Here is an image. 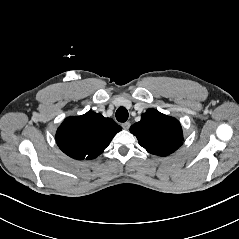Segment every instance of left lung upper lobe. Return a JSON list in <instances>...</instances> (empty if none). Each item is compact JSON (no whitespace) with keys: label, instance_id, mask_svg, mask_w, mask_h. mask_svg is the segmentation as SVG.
Segmentation results:
<instances>
[{"label":"left lung upper lobe","instance_id":"5c2ea615","mask_svg":"<svg viewBox=\"0 0 239 239\" xmlns=\"http://www.w3.org/2000/svg\"><path fill=\"white\" fill-rule=\"evenodd\" d=\"M130 132L149 153L167 156L177 150L183 141L182 128L177 119L154 109L142 114L141 120L133 124Z\"/></svg>","mask_w":239,"mask_h":239}]
</instances>
